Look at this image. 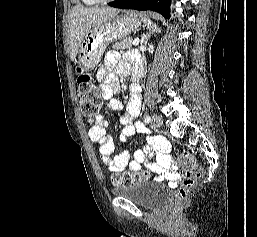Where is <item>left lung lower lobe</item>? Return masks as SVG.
<instances>
[{"instance_id": "1", "label": "left lung lower lobe", "mask_w": 257, "mask_h": 237, "mask_svg": "<svg viewBox=\"0 0 257 237\" xmlns=\"http://www.w3.org/2000/svg\"><path fill=\"white\" fill-rule=\"evenodd\" d=\"M170 4L171 0H118L108 5L121 9L152 10L162 14L165 18H170Z\"/></svg>"}]
</instances>
